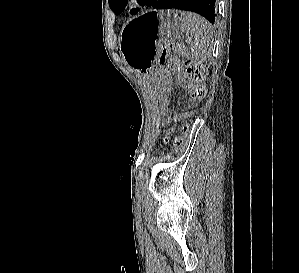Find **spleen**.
<instances>
[{"label": "spleen", "instance_id": "1", "mask_svg": "<svg viewBox=\"0 0 299 273\" xmlns=\"http://www.w3.org/2000/svg\"><path fill=\"white\" fill-rule=\"evenodd\" d=\"M181 22L186 32V42L191 55L197 61L207 62L212 57V26L204 17L184 11L181 12Z\"/></svg>", "mask_w": 299, "mask_h": 273}]
</instances>
